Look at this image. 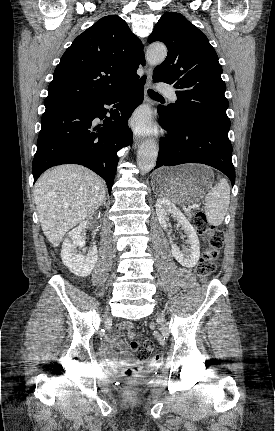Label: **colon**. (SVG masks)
<instances>
[{
    "label": "colon",
    "mask_w": 275,
    "mask_h": 431,
    "mask_svg": "<svg viewBox=\"0 0 275 431\" xmlns=\"http://www.w3.org/2000/svg\"><path fill=\"white\" fill-rule=\"evenodd\" d=\"M194 225L204 238L208 241V246L204 250L201 258L199 259L195 273L201 281L207 280L215 271L217 262L220 258V251L223 246V232L217 226L208 223L206 215L203 212H198L194 216ZM130 349L137 353V360L139 363H144L149 360L156 363L160 360L159 356H152L153 343L146 341L142 348L139 343L134 339V333H129ZM133 369H127L125 374L130 376Z\"/></svg>",
    "instance_id": "1"
}]
</instances>
